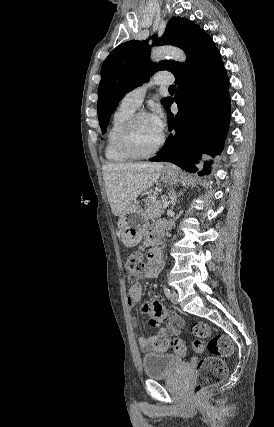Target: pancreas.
Masks as SVG:
<instances>
[{
  "instance_id": "obj_1",
  "label": "pancreas",
  "mask_w": 274,
  "mask_h": 427,
  "mask_svg": "<svg viewBox=\"0 0 274 427\" xmlns=\"http://www.w3.org/2000/svg\"><path fill=\"white\" fill-rule=\"evenodd\" d=\"M146 204V214L148 219H156V217H160L163 212V204L162 200H157V196H149L145 200Z\"/></svg>"
}]
</instances>
